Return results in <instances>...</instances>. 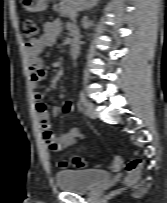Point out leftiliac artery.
<instances>
[{
    "label": "left iliac artery",
    "instance_id": "obj_1",
    "mask_svg": "<svg viewBox=\"0 0 167 203\" xmlns=\"http://www.w3.org/2000/svg\"><path fill=\"white\" fill-rule=\"evenodd\" d=\"M79 102L82 105H84L85 102H86V98H85V96H84V94L82 92H80V94H79Z\"/></svg>",
    "mask_w": 167,
    "mask_h": 203
}]
</instances>
